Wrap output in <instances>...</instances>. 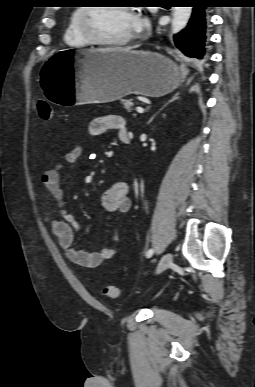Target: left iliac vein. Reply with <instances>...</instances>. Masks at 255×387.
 <instances>
[{
    "label": "left iliac vein",
    "mask_w": 255,
    "mask_h": 387,
    "mask_svg": "<svg viewBox=\"0 0 255 387\" xmlns=\"http://www.w3.org/2000/svg\"><path fill=\"white\" fill-rule=\"evenodd\" d=\"M172 258L173 257L171 253H166L163 255L156 268V273L160 274L165 271L172 264Z\"/></svg>",
    "instance_id": "1"
}]
</instances>
